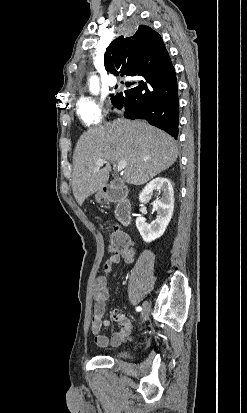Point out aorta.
Listing matches in <instances>:
<instances>
[{
  "label": "aorta",
  "instance_id": "obj_1",
  "mask_svg": "<svg viewBox=\"0 0 247 413\" xmlns=\"http://www.w3.org/2000/svg\"><path fill=\"white\" fill-rule=\"evenodd\" d=\"M90 91L93 94H98L99 92V80L96 76H93L90 79Z\"/></svg>",
  "mask_w": 247,
  "mask_h": 413
}]
</instances>
